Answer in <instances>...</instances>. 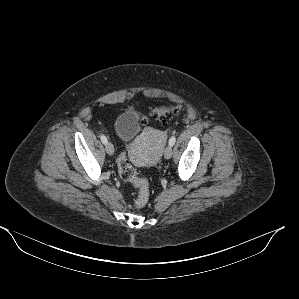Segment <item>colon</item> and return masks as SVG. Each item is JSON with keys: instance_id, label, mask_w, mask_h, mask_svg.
Segmentation results:
<instances>
[{"instance_id": "5ec220e1", "label": "colon", "mask_w": 299, "mask_h": 299, "mask_svg": "<svg viewBox=\"0 0 299 299\" xmlns=\"http://www.w3.org/2000/svg\"><path fill=\"white\" fill-rule=\"evenodd\" d=\"M177 109L173 107H159L153 111V117L161 123H167ZM118 169L120 177L127 182H130L138 189V197L134 202V205L138 208L143 207L149 198V185L145 179L139 178L136 175V171L126 155H120L118 159Z\"/></svg>"}]
</instances>
